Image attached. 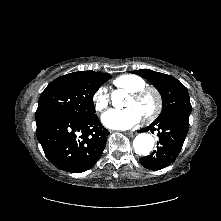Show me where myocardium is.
Returning <instances> with one entry per match:
<instances>
[{
  "label": "myocardium",
  "instance_id": "f54148a6",
  "mask_svg": "<svg viewBox=\"0 0 221 221\" xmlns=\"http://www.w3.org/2000/svg\"><path fill=\"white\" fill-rule=\"evenodd\" d=\"M149 94L154 97L155 105H154L153 110L150 113L143 116V119L146 122L154 121L160 115L162 111L163 99H162L160 92L154 87L145 86L139 90H136L130 93V96L135 100H141L142 98H144L146 95H149Z\"/></svg>",
  "mask_w": 221,
  "mask_h": 221
}]
</instances>
